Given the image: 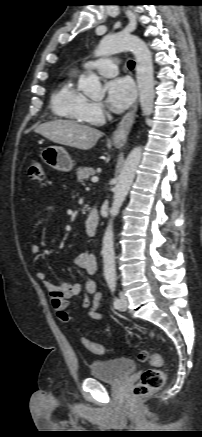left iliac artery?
<instances>
[{
	"label": "left iliac artery",
	"mask_w": 202,
	"mask_h": 437,
	"mask_svg": "<svg viewBox=\"0 0 202 437\" xmlns=\"http://www.w3.org/2000/svg\"><path fill=\"white\" fill-rule=\"evenodd\" d=\"M107 283H108L110 291L114 294V292L116 290V279H115V277H108L107 278ZM114 307L116 309H118L120 307V300L117 297L114 298Z\"/></svg>",
	"instance_id": "44dca946"
}]
</instances>
